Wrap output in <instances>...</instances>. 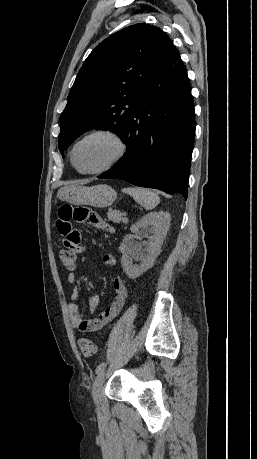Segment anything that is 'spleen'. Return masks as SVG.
I'll return each instance as SVG.
<instances>
[{
	"label": "spleen",
	"instance_id": "spleen-1",
	"mask_svg": "<svg viewBox=\"0 0 257 459\" xmlns=\"http://www.w3.org/2000/svg\"><path fill=\"white\" fill-rule=\"evenodd\" d=\"M124 192L131 195L134 200L146 210H152L160 203L157 193L145 188H125Z\"/></svg>",
	"mask_w": 257,
	"mask_h": 459
}]
</instances>
